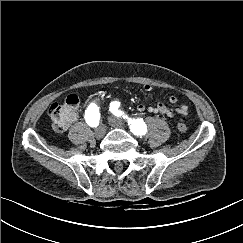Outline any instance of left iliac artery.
<instances>
[{
    "instance_id": "1",
    "label": "left iliac artery",
    "mask_w": 243,
    "mask_h": 243,
    "mask_svg": "<svg viewBox=\"0 0 243 243\" xmlns=\"http://www.w3.org/2000/svg\"><path fill=\"white\" fill-rule=\"evenodd\" d=\"M120 103L117 101H113L110 104V111L117 117H123L124 119H128V124L130 125L131 131L135 135H144L146 133V125L141 119H132L129 118L125 113L119 110Z\"/></svg>"
}]
</instances>
